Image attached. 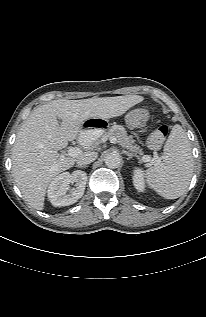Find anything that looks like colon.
Here are the masks:
<instances>
[{"label":"colon","mask_w":206,"mask_h":317,"mask_svg":"<svg viewBox=\"0 0 206 317\" xmlns=\"http://www.w3.org/2000/svg\"><path fill=\"white\" fill-rule=\"evenodd\" d=\"M149 117V112L145 108H136L127 114L126 122L131 127H140L148 122ZM167 134L168 127L166 125H161L151 133L149 145L152 148H158L165 140Z\"/></svg>","instance_id":"colon-1"}]
</instances>
